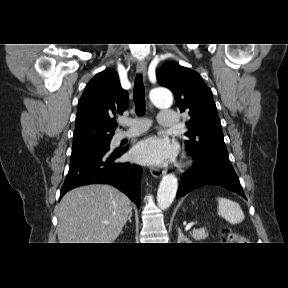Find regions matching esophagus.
Wrapping results in <instances>:
<instances>
[{"label": "esophagus", "instance_id": "34e87169", "mask_svg": "<svg viewBox=\"0 0 288 288\" xmlns=\"http://www.w3.org/2000/svg\"><path fill=\"white\" fill-rule=\"evenodd\" d=\"M146 71H147V64H146V62H145V61H139V62L137 63V72H138L139 74H142L143 77L145 78ZM149 108H150L151 110L153 109L150 104H149ZM150 173H151V175H152L153 177H155V178H160V177L164 174V171H161V170L158 169V168L152 167V168L150 169Z\"/></svg>", "mask_w": 288, "mask_h": 288}]
</instances>
